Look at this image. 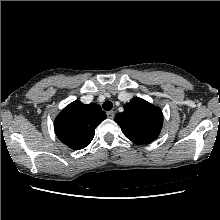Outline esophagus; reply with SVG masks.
<instances>
[{
    "mask_svg": "<svg viewBox=\"0 0 220 220\" xmlns=\"http://www.w3.org/2000/svg\"><path fill=\"white\" fill-rule=\"evenodd\" d=\"M114 116H115V112H114V111H109V112H107V117H108L109 119H113Z\"/></svg>",
    "mask_w": 220,
    "mask_h": 220,
    "instance_id": "esophagus-1",
    "label": "esophagus"
}]
</instances>
